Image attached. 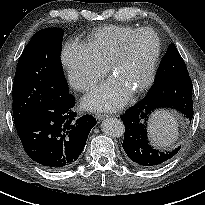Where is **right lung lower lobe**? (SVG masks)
<instances>
[{
  "mask_svg": "<svg viewBox=\"0 0 205 205\" xmlns=\"http://www.w3.org/2000/svg\"><path fill=\"white\" fill-rule=\"evenodd\" d=\"M75 99L67 93L37 107L16 126L28 156L50 170L73 166L96 119L91 115L77 117Z\"/></svg>",
  "mask_w": 205,
  "mask_h": 205,
  "instance_id": "1",
  "label": "right lung lower lobe"
}]
</instances>
